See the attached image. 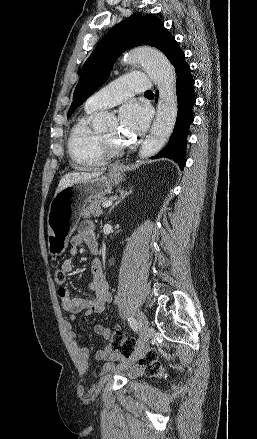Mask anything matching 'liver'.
<instances>
[{"mask_svg": "<svg viewBox=\"0 0 257 439\" xmlns=\"http://www.w3.org/2000/svg\"><path fill=\"white\" fill-rule=\"evenodd\" d=\"M102 174H103V170L93 171V172H73V173L65 174L59 181L58 187L56 189V193L60 192L62 189L74 183L98 178Z\"/></svg>", "mask_w": 257, "mask_h": 439, "instance_id": "obj_1", "label": "liver"}]
</instances>
